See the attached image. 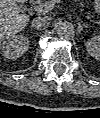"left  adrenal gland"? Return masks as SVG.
Instances as JSON below:
<instances>
[{"mask_svg":"<svg viewBox=\"0 0 100 118\" xmlns=\"http://www.w3.org/2000/svg\"><path fill=\"white\" fill-rule=\"evenodd\" d=\"M77 25H78V28H77L78 34H79L84 28H88V27H89L87 24H84V23L82 24V22H78Z\"/></svg>","mask_w":100,"mask_h":118,"instance_id":"obj_1","label":"left adrenal gland"}]
</instances>
